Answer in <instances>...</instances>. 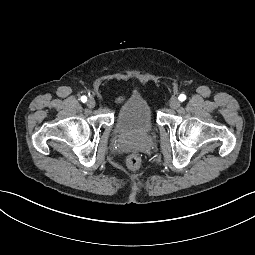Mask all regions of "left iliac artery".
Wrapping results in <instances>:
<instances>
[{"instance_id":"1","label":"left iliac artery","mask_w":255,"mask_h":255,"mask_svg":"<svg viewBox=\"0 0 255 255\" xmlns=\"http://www.w3.org/2000/svg\"><path fill=\"white\" fill-rule=\"evenodd\" d=\"M178 99L180 101H184L186 99V96L184 94L179 95Z\"/></svg>"}]
</instances>
